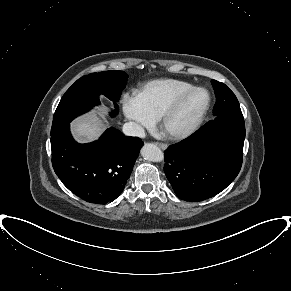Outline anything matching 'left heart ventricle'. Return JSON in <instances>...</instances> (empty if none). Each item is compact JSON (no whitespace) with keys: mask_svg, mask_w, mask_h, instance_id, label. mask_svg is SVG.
I'll return each instance as SVG.
<instances>
[{"mask_svg":"<svg viewBox=\"0 0 291 291\" xmlns=\"http://www.w3.org/2000/svg\"><path fill=\"white\" fill-rule=\"evenodd\" d=\"M206 101L207 94L204 91L193 92L170 119L169 129L179 131L188 127L201 112Z\"/></svg>","mask_w":291,"mask_h":291,"instance_id":"b2bd125f","label":"left heart ventricle"}]
</instances>
